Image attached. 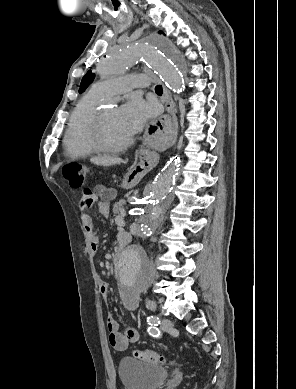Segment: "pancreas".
<instances>
[{"label":"pancreas","mask_w":296,"mask_h":389,"mask_svg":"<svg viewBox=\"0 0 296 389\" xmlns=\"http://www.w3.org/2000/svg\"><path fill=\"white\" fill-rule=\"evenodd\" d=\"M125 205H126V201L124 199H121L119 202H116L113 206V213L115 215H124Z\"/></svg>","instance_id":"pancreas-1"}]
</instances>
